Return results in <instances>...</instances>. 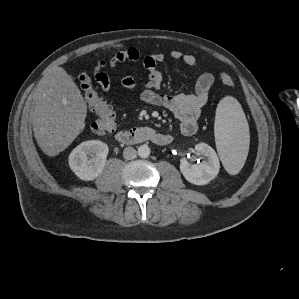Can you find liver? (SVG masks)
Masks as SVG:
<instances>
[{"label":"liver","instance_id":"6515ba94","mask_svg":"<svg viewBox=\"0 0 299 299\" xmlns=\"http://www.w3.org/2000/svg\"><path fill=\"white\" fill-rule=\"evenodd\" d=\"M87 105L62 67H49L34 96L33 132L41 150L54 157L84 130Z\"/></svg>","mask_w":299,"mask_h":299}]
</instances>
